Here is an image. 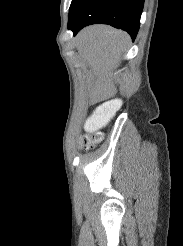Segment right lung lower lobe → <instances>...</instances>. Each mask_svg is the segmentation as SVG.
<instances>
[{"label": "right lung lower lobe", "mask_w": 183, "mask_h": 246, "mask_svg": "<svg viewBox=\"0 0 183 246\" xmlns=\"http://www.w3.org/2000/svg\"><path fill=\"white\" fill-rule=\"evenodd\" d=\"M144 0H81L69 17L68 28L76 35L90 24H109L127 31L134 41L140 26Z\"/></svg>", "instance_id": "1"}]
</instances>
